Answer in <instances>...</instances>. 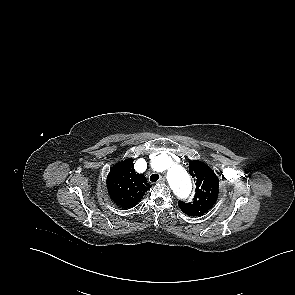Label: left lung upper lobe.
I'll return each mask as SVG.
<instances>
[{"instance_id": "1", "label": "left lung upper lobe", "mask_w": 295, "mask_h": 295, "mask_svg": "<svg viewBox=\"0 0 295 295\" xmlns=\"http://www.w3.org/2000/svg\"><path fill=\"white\" fill-rule=\"evenodd\" d=\"M189 173L196 182L195 196L192 202L186 203L179 200L178 206L189 216H201L216 202L219 181L214 171L201 161H190Z\"/></svg>"}]
</instances>
